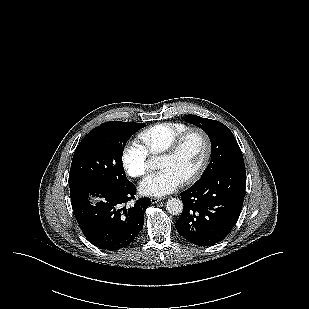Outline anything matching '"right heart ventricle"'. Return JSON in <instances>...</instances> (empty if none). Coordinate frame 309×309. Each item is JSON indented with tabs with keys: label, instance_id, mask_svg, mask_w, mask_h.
Listing matches in <instances>:
<instances>
[{
	"label": "right heart ventricle",
	"instance_id": "right-heart-ventricle-1",
	"mask_svg": "<svg viewBox=\"0 0 309 309\" xmlns=\"http://www.w3.org/2000/svg\"><path fill=\"white\" fill-rule=\"evenodd\" d=\"M190 128L181 122H163L146 128L138 135L148 154L162 153L182 132Z\"/></svg>",
	"mask_w": 309,
	"mask_h": 309
}]
</instances>
